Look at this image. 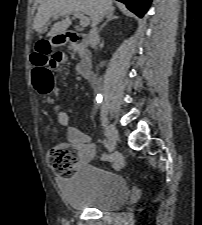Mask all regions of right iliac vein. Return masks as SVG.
I'll return each mask as SVG.
<instances>
[{"label": "right iliac vein", "mask_w": 202, "mask_h": 225, "mask_svg": "<svg viewBox=\"0 0 202 225\" xmlns=\"http://www.w3.org/2000/svg\"><path fill=\"white\" fill-rule=\"evenodd\" d=\"M106 135L111 145L115 147L116 142L119 140V133L117 129L113 125L108 124L106 126Z\"/></svg>", "instance_id": "right-iliac-vein-1"}]
</instances>
